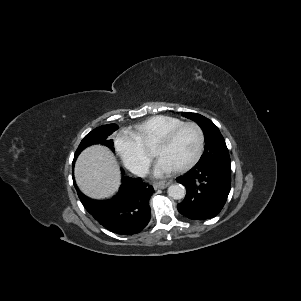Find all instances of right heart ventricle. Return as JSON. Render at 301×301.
<instances>
[{
	"instance_id": "right-heart-ventricle-1",
	"label": "right heart ventricle",
	"mask_w": 301,
	"mask_h": 301,
	"mask_svg": "<svg viewBox=\"0 0 301 301\" xmlns=\"http://www.w3.org/2000/svg\"><path fill=\"white\" fill-rule=\"evenodd\" d=\"M181 123H183V120L179 118L157 115L137 123L128 131L145 146Z\"/></svg>"
}]
</instances>
